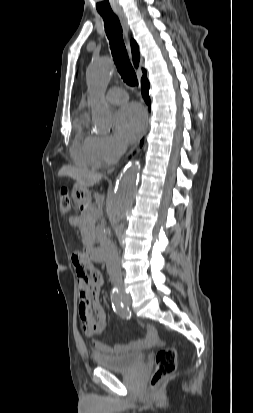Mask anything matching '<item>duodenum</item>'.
I'll return each instance as SVG.
<instances>
[{
  "instance_id": "obj_1",
  "label": "duodenum",
  "mask_w": 253,
  "mask_h": 413,
  "mask_svg": "<svg viewBox=\"0 0 253 413\" xmlns=\"http://www.w3.org/2000/svg\"><path fill=\"white\" fill-rule=\"evenodd\" d=\"M86 253L89 256L90 259L94 261H103L104 260V254L101 248L97 246H88L86 248Z\"/></svg>"
}]
</instances>
